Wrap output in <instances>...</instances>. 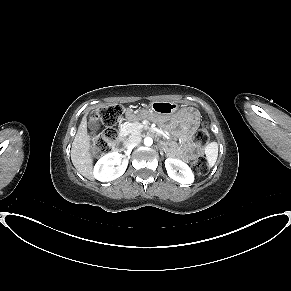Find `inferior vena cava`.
I'll list each match as a JSON object with an SVG mask.
<instances>
[{
  "instance_id": "602c4592",
  "label": "inferior vena cava",
  "mask_w": 291,
  "mask_h": 291,
  "mask_svg": "<svg viewBox=\"0 0 291 291\" xmlns=\"http://www.w3.org/2000/svg\"><path fill=\"white\" fill-rule=\"evenodd\" d=\"M140 141H141L140 137L131 138L129 142L127 143V148L128 149L134 148L135 146L139 144Z\"/></svg>"
}]
</instances>
